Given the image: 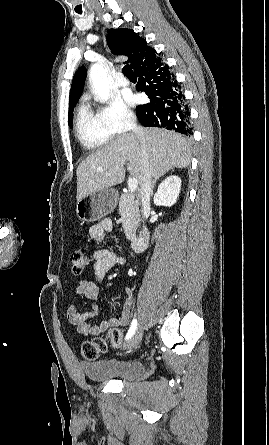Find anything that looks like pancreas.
<instances>
[{
    "mask_svg": "<svg viewBox=\"0 0 269 445\" xmlns=\"http://www.w3.org/2000/svg\"><path fill=\"white\" fill-rule=\"evenodd\" d=\"M119 214L122 218V226L126 238L133 240L135 238L136 229L140 220L139 203L135 200L133 194L124 193L119 201Z\"/></svg>",
    "mask_w": 269,
    "mask_h": 445,
    "instance_id": "obj_1",
    "label": "pancreas"
}]
</instances>
